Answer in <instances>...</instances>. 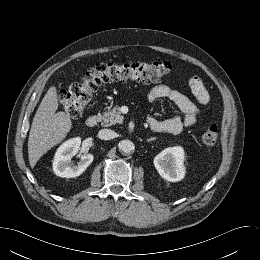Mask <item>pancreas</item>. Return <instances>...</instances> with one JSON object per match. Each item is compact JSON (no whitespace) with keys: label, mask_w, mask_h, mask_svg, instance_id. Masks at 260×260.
<instances>
[{"label":"pancreas","mask_w":260,"mask_h":260,"mask_svg":"<svg viewBox=\"0 0 260 260\" xmlns=\"http://www.w3.org/2000/svg\"><path fill=\"white\" fill-rule=\"evenodd\" d=\"M100 121H102V125L105 127H109V126L115 125L117 123H122L123 116L121 115L120 107L115 106L114 108L108 109V111H105L100 116Z\"/></svg>","instance_id":"obj_1"}]
</instances>
